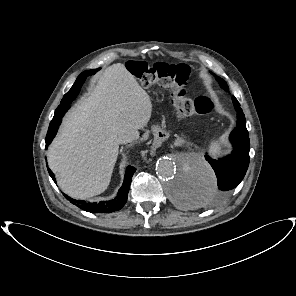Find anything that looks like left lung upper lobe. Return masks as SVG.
Here are the masks:
<instances>
[{
  "label": "left lung upper lobe",
  "mask_w": 296,
  "mask_h": 296,
  "mask_svg": "<svg viewBox=\"0 0 296 296\" xmlns=\"http://www.w3.org/2000/svg\"><path fill=\"white\" fill-rule=\"evenodd\" d=\"M216 80L219 82V84L222 86L224 90L228 91V85L222 78L216 76Z\"/></svg>",
  "instance_id": "1"
}]
</instances>
